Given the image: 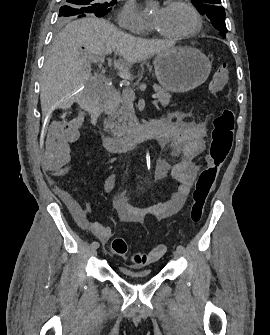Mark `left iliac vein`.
<instances>
[{
	"instance_id": "left-iliac-vein-1",
	"label": "left iliac vein",
	"mask_w": 270,
	"mask_h": 335,
	"mask_svg": "<svg viewBox=\"0 0 270 335\" xmlns=\"http://www.w3.org/2000/svg\"><path fill=\"white\" fill-rule=\"evenodd\" d=\"M173 254H174V256H175L176 258H180V257L182 256L183 252H181V251H179V250H175V251L173 252Z\"/></svg>"
}]
</instances>
